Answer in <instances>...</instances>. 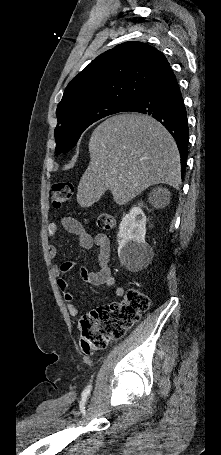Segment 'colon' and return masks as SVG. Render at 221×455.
<instances>
[{
	"instance_id": "obj_1",
	"label": "colon",
	"mask_w": 221,
	"mask_h": 455,
	"mask_svg": "<svg viewBox=\"0 0 221 455\" xmlns=\"http://www.w3.org/2000/svg\"><path fill=\"white\" fill-rule=\"evenodd\" d=\"M75 186L71 182L53 185L50 193L54 209H60L74 195ZM98 228L111 230L116 224L115 217L108 213L96 219ZM150 306L149 297L138 289H129L121 302H113L97 308L83 316L80 321L81 347L86 353L104 348L111 340L121 339Z\"/></svg>"
}]
</instances>
